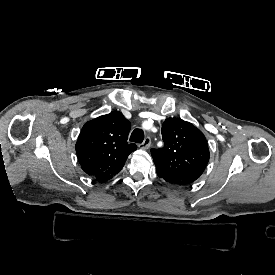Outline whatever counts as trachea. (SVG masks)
I'll list each match as a JSON object with an SVG mask.
<instances>
[{
  "label": "trachea",
  "mask_w": 275,
  "mask_h": 275,
  "mask_svg": "<svg viewBox=\"0 0 275 275\" xmlns=\"http://www.w3.org/2000/svg\"><path fill=\"white\" fill-rule=\"evenodd\" d=\"M143 139H144V132L141 129H135L130 136V141L135 143H142Z\"/></svg>",
  "instance_id": "1"
}]
</instances>
